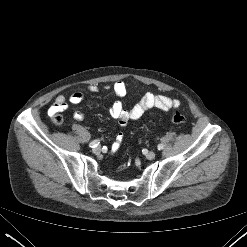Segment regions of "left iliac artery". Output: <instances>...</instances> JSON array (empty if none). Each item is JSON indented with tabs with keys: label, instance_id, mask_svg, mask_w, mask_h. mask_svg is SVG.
Segmentation results:
<instances>
[{
	"label": "left iliac artery",
	"instance_id": "44dca946",
	"mask_svg": "<svg viewBox=\"0 0 247 247\" xmlns=\"http://www.w3.org/2000/svg\"><path fill=\"white\" fill-rule=\"evenodd\" d=\"M164 148V145L163 144H159L158 146H157V149L158 150H162Z\"/></svg>",
	"mask_w": 247,
	"mask_h": 247
}]
</instances>
